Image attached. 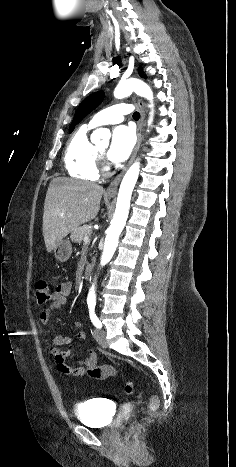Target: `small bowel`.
Segmentation results:
<instances>
[{
  "label": "small bowel",
  "mask_w": 236,
  "mask_h": 467,
  "mask_svg": "<svg viewBox=\"0 0 236 467\" xmlns=\"http://www.w3.org/2000/svg\"><path fill=\"white\" fill-rule=\"evenodd\" d=\"M72 291V283L70 281L59 284L51 295V304L40 312V320L44 325H47L53 311L61 309L66 304V298ZM73 328L77 330V338L85 340L86 333L81 322H75ZM72 338L66 334H58L49 342V353L57 371L67 377L81 378L84 375H89L96 380H104L116 374L113 366L97 364L96 352L93 349L84 351V358L78 361L76 365H69L66 358L70 355L69 349H60L64 344H70ZM105 372V373H103Z\"/></svg>",
  "instance_id": "c3829d8e"
}]
</instances>
